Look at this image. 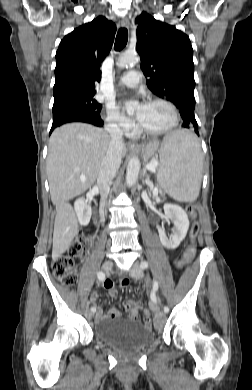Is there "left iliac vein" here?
Returning <instances> with one entry per match:
<instances>
[{
  "mask_svg": "<svg viewBox=\"0 0 252 390\" xmlns=\"http://www.w3.org/2000/svg\"><path fill=\"white\" fill-rule=\"evenodd\" d=\"M130 275L131 277L135 278V279H141L143 277V271L142 269L138 266V265H133L132 269L130 270ZM155 311V315H156V319L158 321L160 320H163L164 317H165V313L160 311L159 309H154Z\"/></svg>",
  "mask_w": 252,
  "mask_h": 390,
  "instance_id": "4c4485c4",
  "label": "left iliac vein"
}]
</instances>
